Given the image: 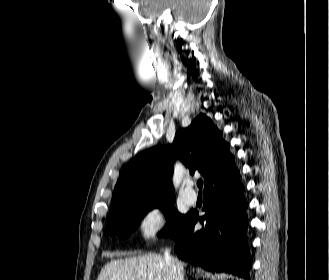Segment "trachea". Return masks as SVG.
Here are the masks:
<instances>
[{"label":"trachea","instance_id":"1","mask_svg":"<svg viewBox=\"0 0 329 280\" xmlns=\"http://www.w3.org/2000/svg\"><path fill=\"white\" fill-rule=\"evenodd\" d=\"M197 186L200 189V191H202V187H203V181H202V179H200V180L197 181Z\"/></svg>","mask_w":329,"mask_h":280}]
</instances>
